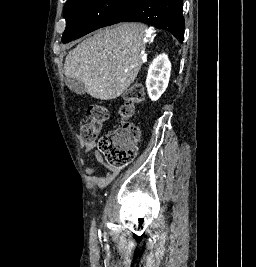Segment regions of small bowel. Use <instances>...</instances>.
Listing matches in <instances>:
<instances>
[{
    "label": "small bowel",
    "instance_id": "1",
    "mask_svg": "<svg viewBox=\"0 0 256 267\" xmlns=\"http://www.w3.org/2000/svg\"><path fill=\"white\" fill-rule=\"evenodd\" d=\"M82 145L85 149V153L94 151L95 160L106 168V171L102 173L97 168L87 167L86 181L88 185L99 189L105 188L117 176L118 170L105 162L102 153L97 149L96 143L93 140L83 139Z\"/></svg>",
    "mask_w": 256,
    "mask_h": 267
}]
</instances>
